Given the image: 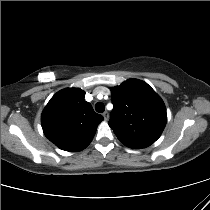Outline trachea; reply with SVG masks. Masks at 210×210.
<instances>
[{
  "label": "trachea",
  "mask_w": 210,
  "mask_h": 210,
  "mask_svg": "<svg viewBox=\"0 0 210 210\" xmlns=\"http://www.w3.org/2000/svg\"><path fill=\"white\" fill-rule=\"evenodd\" d=\"M95 110H96L97 112H99V113L104 112V110H105L104 104H103L102 102L96 103V105H95Z\"/></svg>",
  "instance_id": "3493384b"
}]
</instances>
